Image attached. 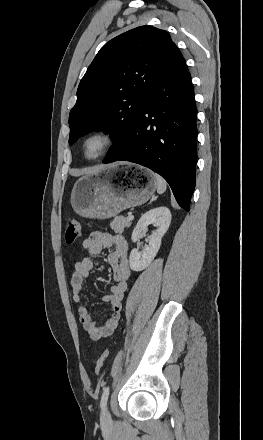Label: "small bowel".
<instances>
[{
    "label": "small bowel",
    "mask_w": 263,
    "mask_h": 440,
    "mask_svg": "<svg viewBox=\"0 0 263 440\" xmlns=\"http://www.w3.org/2000/svg\"><path fill=\"white\" fill-rule=\"evenodd\" d=\"M81 247L95 257L101 255L105 249H111L107 262L112 269L114 285L111 286L110 292L102 297V301L110 305V318L103 325H97L88 307L78 308L79 320L84 330L92 340L100 341L114 333L121 316L122 302L130 277L127 259L128 244L120 235L95 231L82 241ZM94 268L95 262L91 257H85L76 262L71 278L72 299L75 303H80L84 299V284Z\"/></svg>",
    "instance_id": "c3829d8e"
}]
</instances>
